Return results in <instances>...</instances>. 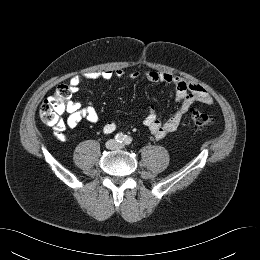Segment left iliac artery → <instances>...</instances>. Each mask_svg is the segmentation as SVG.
<instances>
[{"mask_svg":"<svg viewBox=\"0 0 260 260\" xmlns=\"http://www.w3.org/2000/svg\"><path fill=\"white\" fill-rule=\"evenodd\" d=\"M132 141H133V138H132V137H130V136H125L124 144L129 145V144L132 143Z\"/></svg>","mask_w":260,"mask_h":260,"instance_id":"44dca946","label":"left iliac artery"}]
</instances>
